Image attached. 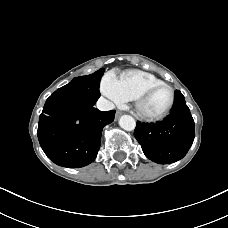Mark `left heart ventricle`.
<instances>
[{"mask_svg": "<svg viewBox=\"0 0 228 228\" xmlns=\"http://www.w3.org/2000/svg\"><path fill=\"white\" fill-rule=\"evenodd\" d=\"M170 90L166 87H159L152 91L144 100L142 108L146 113L157 114L162 112L170 101Z\"/></svg>", "mask_w": 228, "mask_h": 228, "instance_id": "obj_1", "label": "left heart ventricle"}]
</instances>
